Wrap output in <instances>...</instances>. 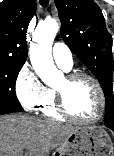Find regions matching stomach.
I'll return each instance as SVG.
<instances>
[{
	"label": "stomach",
	"mask_w": 114,
	"mask_h": 156,
	"mask_svg": "<svg viewBox=\"0 0 114 156\" xmlns=\"http://www.w3.org/2000/svg\"><path fill=\"white\" fill-rule=\"evenodd\" d=\"M54 156H114L109 134L101 127H78Z\"/></svg>",
	"instance_id": "stomach-1"
}]
</instances>
